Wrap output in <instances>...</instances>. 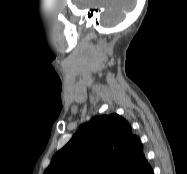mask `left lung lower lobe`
<instances>
[{
	"mask_svg": "<svg viewBox=\"0 0 187 174\" xmlns=\"http://www.w3.org/2000/svg\"><path fill=\"white\" fill-rule=\"evenodd\" d=\"M131 174H154L151 166L147 164L143 168H139V165L131 172Z\"/></svg>",
	"mask_w": 187,
	"mask_h": 174,
	"instance_id": "0a47b994",
	"label": "left lung lower lobe"
}]
</instances>
